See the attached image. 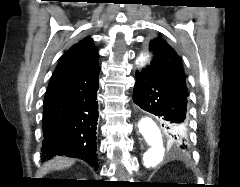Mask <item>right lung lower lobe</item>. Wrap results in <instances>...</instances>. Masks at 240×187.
Returning a JSON list of instances; mask_svg holds the SVG:
<instances>
[{
	"label": "right lung lower lobe",
	"instance_id": "98d812e1",
	"mask_svg": "<svg viewBox=\"0 0 240 187\" xmlns=\"http://www.w3.org/2000/svg\"><path fill=\"white\" fill-rule=\"evenodd\" d=\"M99 70L47 89L43 104V161L66 155L83 159L97 170Z\"/></svg>",
	"mask_w": 240,
	"mask_h": 187
}]
</instances>
